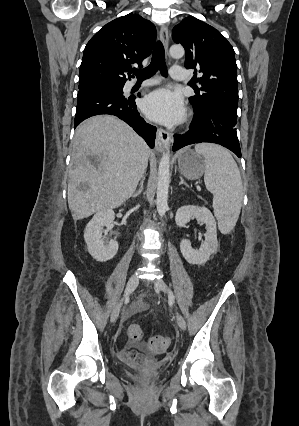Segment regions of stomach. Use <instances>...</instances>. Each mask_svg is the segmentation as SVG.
Masks as SVG:
<instances>
[{"mask_svg":"<svg viewBox=\"0 0 299 426\" xmlns=\"http://www.w3.org/2000/svg\"><path fill=\"white\" fill-rule=\"evenodd\" d=\"M178 166L180 173L189 180L199 179L206 170L204 156L190 148L179 153Z\"/></svg>","mask_w":299,"mask_h":426,"instance_id":"stomach-1","label":"stomach"}]
</instances>
